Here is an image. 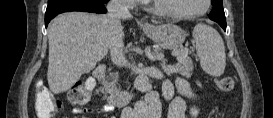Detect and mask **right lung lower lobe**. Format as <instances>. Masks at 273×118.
<instances>
[{"mask_svg":"<svg viewBox=\"0 0 273 118\" xmlns=\"http://www.w3.org/2000/svg\"><path fill=\"white\" fill-rule=\"evenodd\" d=\"M70 11L99 14L107 12L105 3L98 0H48V6L45 13V26L47 27L50 20L56 15Z\"/></svg>","mask_w":273,"mask_h":118,"instance_id":"obj_1","label":"right lung lower lobe"}]
</instances>
